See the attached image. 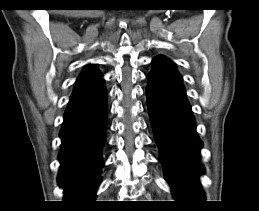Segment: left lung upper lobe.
Wrapping results in <instances>:
<instances>
[{
  "label": "left lung upper lobe",
  "mask_w": 259,
  "mask_h": 211,
  "mask_svg": "<svg viewBox=\"0 0 259 211\" xmlns=\"http://www.w3.org/2000/svg\"><path fill=\"white\" fill-rule=\"evenodd\" d=\"M152 63L154 67L148 75L177 84L182 83V76L176 71L172 61L164 56H157L152 60Z\"/></svg>",
  "instance_id": "left-lung-upper-lobe-1"
}]
</instances>
